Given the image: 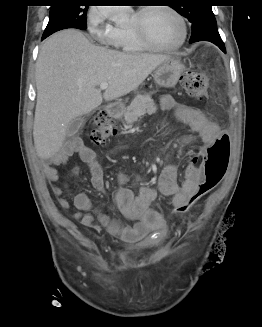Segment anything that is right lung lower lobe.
Masks as SVG:
<instances>
[{
    "instance_id": "right-lung-lower-lobe-1",
    "label": "right lung lower lobe",
    "mask_w": 262,
    "mask_h": 327,
    "mask_svg": "<svg viewBox=\"0 0 262 327\" xmlns=\"http://www.w3.org/2000/svg\"><path fill=\"white\" fill-rule=\"evenodd\" d=\"M47 36H43L42 39L46 38Z\"/></svg>"
}]
</instances>
